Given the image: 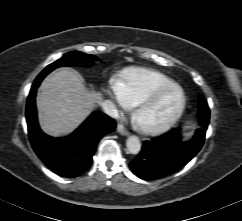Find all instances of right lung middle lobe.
Returning a JSON list of instances; mask_svg holds the SVG:
<instances>
[{
    "label": "right lung middle lobe",
    "mask_w": 242,
    "mask_h": 221,
    "mask_svg": "<svg viewBox=\"0 0 242 221\" xmlns=\"http://www.w3.org/2000/svg\"><path fill=\"white\" fill-rule=\"evenodd\" d=\"M92 60L97 61L98 58L85 54L79 51H73L66 54L61 59L53 62L52 64L48 65L39 75L37 78L41 79L44 78L48 73L53 71L54 69L61 67V66H71V65H83V66H91Z\"/></svg>",
    "instance_id": "1"
}]
</instances>
